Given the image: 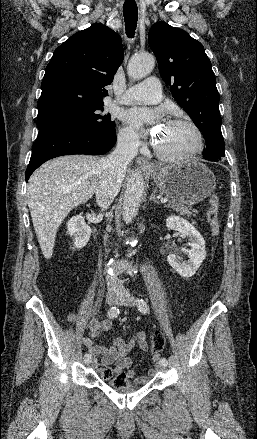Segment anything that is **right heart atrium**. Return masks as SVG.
Instances as JSON below:
<instances>
[{
	"label": "right heart atrium",
	"instance_id": "d8ad5b80",
	"mask_svg": "<svg viewBox=\"0 0 257 439\" xmlns=\"http://www.w3.org/2000/svg\"><path fill=\"white\" fill-rule=\"evenodd\" d=\"M120 149L126 154H135L140 145L138 137L129 127H122L117 136Z\"/></svg>",
	"mask_w": 257,
	"mask_h": 439
}]
</instances>
